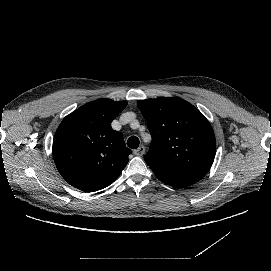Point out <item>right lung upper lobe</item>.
<instances>
[{"mask_svg":"<svg viewBox=\"0 0 271 271\" xmlns=\"http://www.w3.org/2000/svg\"><path fill=\"white\" fill-rule=\"evenodd\" d=\"M126 105V101L100 99L63 119L53 139V158L70 185L94 192L121 174L132 152L121 133L111 128V122Z\"/></svg>","mask_w":271,"mask_h":271,"instance_id":"obj_1","label":"right lung upper lobe"}]
</instances>
